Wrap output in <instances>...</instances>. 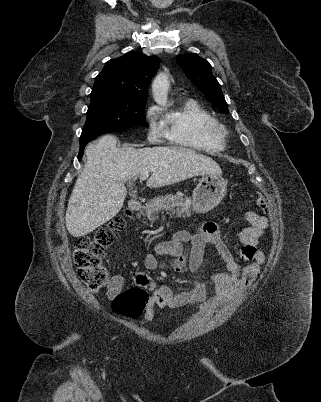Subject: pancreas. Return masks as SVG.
<instances>
[{"label": "pancreas", "instance_id": "cf45deb5", "mask_svg": "<svg viewBox=\"0 0 321 402\" xmlns=\"http://www.w3.org/2000/svg\"><path fill=\"white\" fill-rule=\"evenodd\" d=\"M191 203L192 200L189 198L184 199L181 196L167 194L147 202L141 214L146 215L150 220L157 219L158 214L164 211L171 212L177 217L188 218L191 216Z\"/></svg>", "mask_w": 321, "mask_h": 402}]
</instances>
